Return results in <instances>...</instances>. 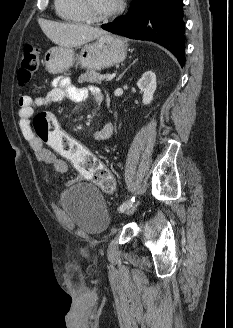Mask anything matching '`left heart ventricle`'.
<instances>
[{"label":"left heart ventricle","instance_id":"b2bd125f","mask_svg":"<svg viewBox=\"0 0 233 328\" xmlns=\"http://www.w3.org/2000/svg\"><path fill=\"white\" fill-rule=\"evenodd\" d=\"M94 14H104L116 7L119 0H88Z\"/></svg>","mask_w":233,"mask_h":328}]
</instances>
